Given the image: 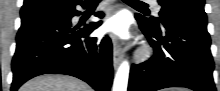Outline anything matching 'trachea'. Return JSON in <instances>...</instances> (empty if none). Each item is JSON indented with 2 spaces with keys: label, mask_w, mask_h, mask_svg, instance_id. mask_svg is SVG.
Instances as JSON below:
<instances>
[{
  "label": "trachea",
  "mask_w": 220,
  "mask_h": 91,
  "mask_svg": "<svg viewBox=\"0 0 220 91\" xmlns=\"http://www.w3.org/2000/svg\"><path fill=\"white\" fill-rule=\"evenodd\" d=\"M125 3L131 4L133 6H137V7H148V5L142 1H138V0H123Z\"/></svg>",
  "instance_id": "obj_1"
}]
</instances>
